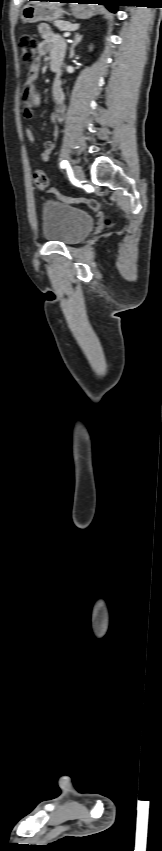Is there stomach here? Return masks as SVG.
<instances>
[{
    "label": "stomach",
    "mask_w": 162,
    "mask_h": 851,
    "mask_svg": "<svg viewBox=\"0 0 162 851\" xmlns=\"http://www.w3.org/2000/svg\"><path fill=\"white\" fill-rule=\"evenodd\" d=\"M72 14L79 19H88L103 11L102 8L82 5L81 2L71 4ZM65 11L59 6H48L41 2H29L21 10L24 23L53 21L62 17Z\"/></svg>",
    "instance_id": "obj_1"
}]
</instances>
